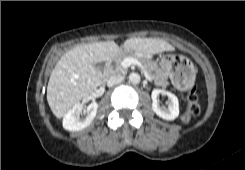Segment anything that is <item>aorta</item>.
<instances>
[{"label":"aorta","mask_w":245,"mask_h":170,"mask_svg":"<svg viewBox=\"0 0 245 170\" xmlns=\"http://www.w3.org/2000/svg\"><path fill=\"white\" fill-rule=\"evenodd\" d=\"M141 78L138 73H131L129 74V81L133 84H138L140 82Z\"/></svg>","instance_id":"obj_1"}]
</instances>
